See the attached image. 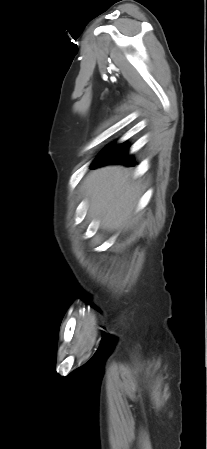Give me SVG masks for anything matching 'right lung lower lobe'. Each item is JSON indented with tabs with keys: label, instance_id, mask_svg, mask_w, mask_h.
Returning <instances> with one entry per match:
<instances>
[{
	"label": "right lung lower lobe",
	"instance_id": "98d812e1",
	"mask_svg": "<svg viewBox=\"0 0 207 449\" xmlns=\"http://www.w3.org/2000/svg\"><path fill=\"white\" fill-rule=\"evenodd\" d=\"M106 164L134 165L132 157L128 155V145L124 142L109 147L99 155L96 161L91 165V168Z\"/></svg>",
	"mask_w": 207,
	"mask_h": 449
}]
</instances>
